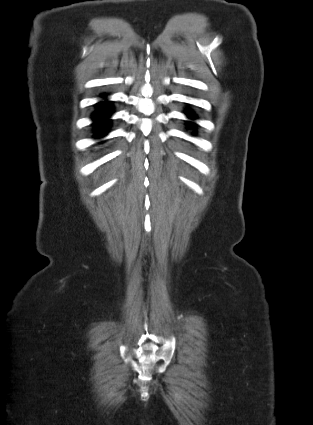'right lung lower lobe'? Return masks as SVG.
<instances>
[{"mask_svg": "<svg viewBox=\"0 0 313 425\" xmlns=\"http://www.w3.org/2000/svg\"><path fill=\"white\" fill-rule=\"evenodd\" d=\"M111 114V103L109 101L99 102L97 110L94 113V123L98 137L106 134L107 125L109 123L108 117Z\"/></svg>", "mask_w": 313, "mask_h": 425, "instance_id": "1", "label": "right lung lower lobe"}]
</instances>
